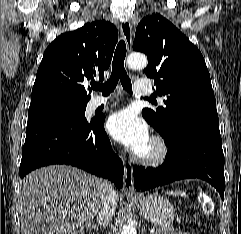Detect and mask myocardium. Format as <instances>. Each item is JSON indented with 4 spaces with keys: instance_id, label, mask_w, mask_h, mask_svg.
I'll return each instance as SVG.
<instances>
[{
    "instance_id": "f54148a6",
    "label": "myocardium",
    "mask_w": 241,
    "mask_h": 234,
    "mask_svg": "<svg viewBox=\"0 0 241 234\" xmlns=\"http://www.w3.org/2000/svg\"><path fill=\"white\" fill-rule=\"evenodd\" d=\"M150 142L153 150L149 155H135V161L145 166H158L165 162L168 157L169 148L163 137L154 135L151 137Z\"/></svg>"
}]
</instances>
